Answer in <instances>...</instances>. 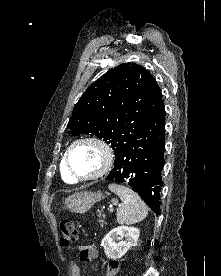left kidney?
<instances>
[{"instance_id": "obj_1", "label": "left kidney", "mask_w": 221, "mask_h": 276, "mask_svg": "<svg viewBox=\"0 0 221 276\" xmlns=\"http://www.w3.org/2000/svg\"><path fill=\"white\" fill-rule=\"evenodd\" d=\"M139 234L140 230L135 227L123 225L112 229L101 242L107 258L118 259L124 256L130 247L137 245Z\"/></svg>"}]
</instances>
